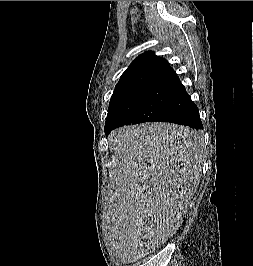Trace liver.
<instances>
[{"label":"liver","mask_w":253,"mask_h":266,"mask_svg":"<svg viewBox=\"0 0 253 266\" xmlns=\"http://www.w3.org/2000/svg\"><path fill=\"white\" fill-rule=\"evenodd\" d=\"M118 159L108 201L113 251L135 262L174 235L201 178L204 139L199 131L170 123L124 126L111 132Z\"/></svg>","instance_id":"obj_1"}]
</instances>
